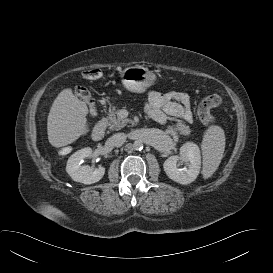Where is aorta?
<instances>
[{
	"instance_id": "aorta-1",
	"label": "aorta",
	"mask_w": 273,
	"mask_h": 273,
	"mask_svg": "<svg viewBox=\"0 0 273 273\" xmlns=\"http://www.w3.org/2000/svg\"><path fill=\"white\" fill-rule=\"evenodd\" d=\"M133 148L135 150H141L143 148V142L142 140L138 139L133 142Z\"/></svg>"
}]
</instances>
